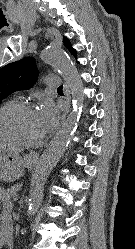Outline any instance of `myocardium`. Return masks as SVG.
<instances>
[{
    "label": "myocardium",
    "mask_w": 135,
    "mask_h": 249,
    "mask_svg": "<svg viewBox=\"0 0 135 249\" xmlns=\"http://www.w3.org/2000/svg\"><path fill=\"white\" fill-rule=\"evenodd\" d=\"M35 106L34 104L30 102H14L12 104L7 105L0 111V136L13 144L28 147V148H34L42 144L44 140V136L39 138L36 141H25L21 138H19L14 132L8 130L4 125V119L9 116L10 114L14 112L19 111H29L34 110Z\"/></svg>",
    "instance_id": "myocardium-1"
}]
</instances>
